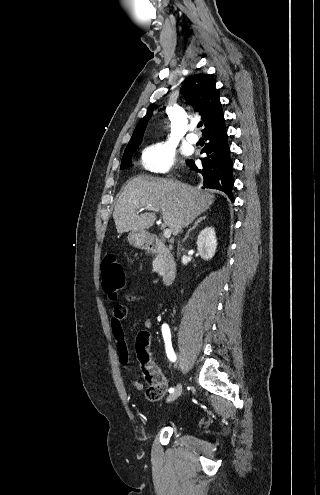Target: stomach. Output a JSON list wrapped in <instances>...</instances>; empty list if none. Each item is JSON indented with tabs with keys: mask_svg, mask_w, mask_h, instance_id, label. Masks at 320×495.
<instances>
[{
	"mask_svg": "<svg viewBox=\"0 0 320 495\" xmlns=\"http://www.w3.org/2000/svg\"><path fill=\"white\" fill-rule=\"evenodd\" d=\"M128 242L130 245L136 248H144L150 242V236L145 230L142 231H130L128 234Z\"/></svg>",
	"mask_w": 320,
	"mask_h": 495,
	"instance_id": "1",
	"label": "stomach"
}]
</instances>
